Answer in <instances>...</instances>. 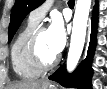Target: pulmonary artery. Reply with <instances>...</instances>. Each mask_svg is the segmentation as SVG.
Segmentation results:
<instances>
[{
  "label": "pulmonary artery",
  "instance_id": "e3ab8cb5",
  "mask_svg": "<svg viewBox=\"0 0 107 89\" xmlns=\"http://www.w3.org/2000/svg\"><path fill=\"white\" fill-rule=\"evenodd\" d=\"M52 5V1H47L30 13V18L36 22H40Z\"/></svg>",
  "mask_w": 107,
  "mask_h": 89
}]
</instances>
